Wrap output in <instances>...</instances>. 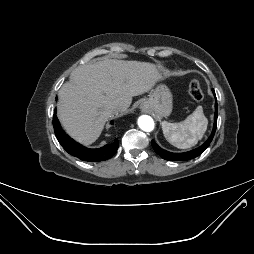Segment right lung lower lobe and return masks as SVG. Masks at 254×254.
Instances as JSON below:
<instances>
[{
	"label": "right lung lower lobe",
	"instance_id": "right-lung-lower-lobe-1",
	"mask_svg": "<svg viewBox=\"0 0 254 254\" xmlns=\"http://www.w3.org/2000/svg\"><path fill=\"white\" fill-rule=\"evenodd\" d=\"M53 127L56 138L62 147L72 156L83 161L98 162L111 158L118 149V139L112 144L98 149H89L71 139L61 128L56 113L53 116Z\"/></svg>",
	"mask_w": 254,
	"mask_h": 254
}]
</instances>
